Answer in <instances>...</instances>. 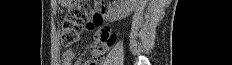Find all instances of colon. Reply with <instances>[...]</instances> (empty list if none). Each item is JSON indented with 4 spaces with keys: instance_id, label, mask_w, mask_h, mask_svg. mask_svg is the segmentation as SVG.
Listing matches in <instances>:
<instances>
[{
    "instance_id": "5ec220e1",
    "label": "colon",
    "mask_w": 232,
    "mask_h": 65,
    "mask_svg": "<svg viewBox=\"0 0 232 65\" xmlns=\"http://www.w3.org/2000/svg\"><path fill=\"white\" fill-rule=\"evenodd\" d=\"M96 0H77L70 8L66 16L61 32L63 45L70 46L78 41L82 26L87 22L98 5ZM115 42V36L112 34L107 38L96 36L93 44L94 58L92 62H103L108 48Z\"/></svg>"
}]
</instances>
